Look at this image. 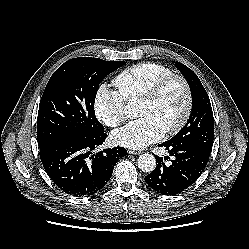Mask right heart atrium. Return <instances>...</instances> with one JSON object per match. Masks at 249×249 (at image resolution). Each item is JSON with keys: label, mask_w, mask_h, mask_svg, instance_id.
<instances>
[{"label": "right heart atrium", "mask_w": 249, "mask_h": 249, "mask_svg": "<svg viewBox=\"0 0 249 249\" xmlns=\"http://www.w3.org/2000/svg\"><path fill=\"white\" fill-rule=\"evenodd\" d=\"M93 110L96 118L108 127H116L126 118L124 99L105 84L100 85L95 93Z\"/></svg>", "instance_id": "1"}]
</instances>
